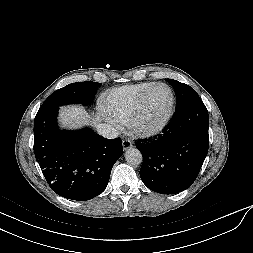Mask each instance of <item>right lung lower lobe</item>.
<instances>
[{"mask_svg": "<svg viewBox=\"0 0 253 253\" xmlns=\"http://www.w3.org/2000/svg\"><path fill=\"white\" fill-rule=\"evenodd\" d=\"M59 106L41 107L34 120V153L51 189L72 200L94 198L106 188L123 154L120 138L106 139L91 129L61 131Z\"/></svg>", "mask_w": 253, "mask_h": 253, "instance_id": "98d812e1", "label": "right lung lower lobe"}]
</instances>
